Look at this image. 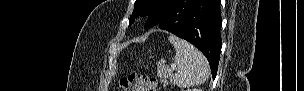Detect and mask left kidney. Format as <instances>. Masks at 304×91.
Here are the masks:
<instances>
[{
	"instance_id": "1",
	"label": "left kidney",
	"mask_w": 304,
	"mask_h": 91,
	"mask_svg": "<svg viewBox=\"0 0 304 91\" xmlns=\"http://www.w3.org/2000/svg\"><path fill=\"white\" fill-rule=\"evenodd\" d=\"M187 91H202V90H201V89L194 88V89H187Z\"/></svg>"
}]
</instances>
